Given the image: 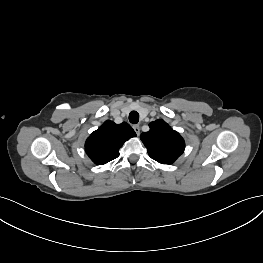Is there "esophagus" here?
Here are the masks:
<instances>
[{"mask_svg": "<svg viewBox=\"0 0 263 263\" xmlns=\"http://www.w3.org/2000/svg\"><path fill=\"white\" fill-rule=\"evenodd\" d=\"M133 129H134V131L136 132V134L137 135H139L140 134V126L139 125H133Z\"/></svg>", "mask_w": 263, "mask_h": 263, "instance_id": "34e87169", "label": "esophagus"}]
</instances>
